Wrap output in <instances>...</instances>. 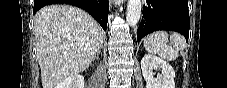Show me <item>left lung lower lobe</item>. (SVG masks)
Returning <instances> with one entry per match:
<instances>
[{
  "label": "left lung lower lobe",
  "instance_id": "left-lung-lower-lobe-1",
  "mask_svg": "<svg viewBox=\"0 0 227 88\" xmlns=\"http://www.w3.org/2000/svg\"><path fill=\"white\" fill-rule=\"evenodd\" d=\"M142 21L137 30L138 42L156 30H171L189 37V10L187 0H146Z\"/></svg>",
  "mask_w": 227,
  "mask_h": 88
}]
</instances>
